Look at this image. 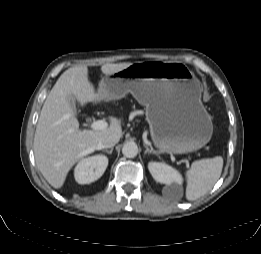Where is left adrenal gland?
Wrapping results in <instances>:
<instances>
[{
    "mask_svg": "<svg viewBox=\"0 0 261 254\" xmlns=\"http://www.w3.org/2000/svg\"><path fill=\"white\" fill-rule=\"evenodd\" d=\"M144 147L146 148V150H145V152H144L145 155H146L147 153H149V154H156L155 152H153L152 150H150L147 145L144 144Z\"/></svg>",
    "mask_w": 261,
    "mask_h": 254,
    "instance_id": "left-adrenal-gland-1",
    "label": "left adrenal gland"
}]
</instances>
